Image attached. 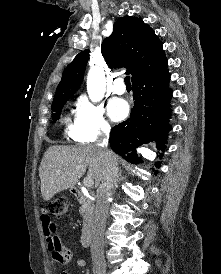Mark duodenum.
Listing matches in <instances>:
<instances>
[{"label":"duodenum","instance_id":"obj_1","mask_svg":"<svg viewBox=\"0 0 221 274\" xmlns=\"http://www.w3.org/2000/svg\"><path fill=\"white\" fill-rule=\"evenodd\" d=\"M73 195L76 200L80 203H89L88 197L79 189H73ZM94 220V211L93 208H89L84 214V226L80 236V244L82 246H87L90 242L91 229Z\"/></svg>","mask_w":221,"mask_h":274}]
</instances>
